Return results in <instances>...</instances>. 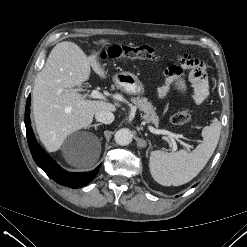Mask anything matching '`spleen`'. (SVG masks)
Returning a JSON list of instances; mask_svg holds the SVG:
<instances>
[{"label": "spleen", "instance_id": "1", "mask_svg": "<svg viewBox=\"0 0 247 247\" xmlns=\"http://www.w3.org/2000/svg\"><path fill=\"white\" fill-rule=\"evenodd\" d=\"M220 133L221 123L214 121L203 129V141L191 152H151L149 170L153 179L163 186H180L191 181L213 155Z\"/></svg>", "mask_w": 247, "mask_h": 247}]
</instances>
